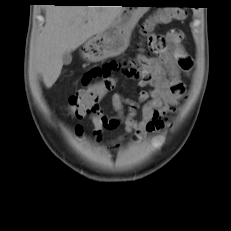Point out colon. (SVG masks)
<instances>
[{
	"label": "colon",
	"instance_id": "5ec220e1",
	"mask_svg": "<svg viewBox=\"0 0 231 231\" xmlns=\"http://www.w3.org/2000/svg\"><path fill=\"white\" fill-rule=\"evenodd\" d=\"M186 13L179 8H166L159 10L154 17L147 20L142 27V34L146 38L148 47L152 51H159L165 47L164 40L161 36L153 35L152 29L156 24H164L172 21L182 20ZM127 75L138 76L137 64L130 61L126 65ZM115 80L106 79L90 84L73 94L68 101V109L70 113L82 118L87 114L93 113L99 109V102L108 91L114 88Z\"/></svg>",
	"mask_w": 231,
	"mask_h": 231
}]
</instances>
